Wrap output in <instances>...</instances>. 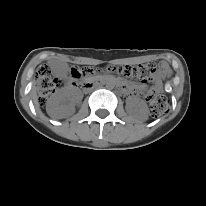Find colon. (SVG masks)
<instances>
[{
	"instance_id": "1",
	"label": "colon",
	"mask_w": 206,
	"mask_h": 206,
	"mask_svg": "<svg viewBox=\"0 0 206 206\" xmlns=\"http://www.w3.org/2000/svg\"><path fill=\"white\" fill-rule=\"evenodd\" d=\"M107 70L111 72H118L126 77H135L146 81L156 69L155 67L146 65H139L137 67L126 65L122 67L110 66ZM94 72L95 69L91 67L73 68L71 70V76L73 78L88 77ZM58 85L59 80L52 75V72L47 66L39 67L37 71V88L40 104H44L46 102L48 96ZM148 100L150 102V111L153 116H160L167 111L169 104L165 97L150 95L148 96Z\"/></svg>"
}]
</instances>
